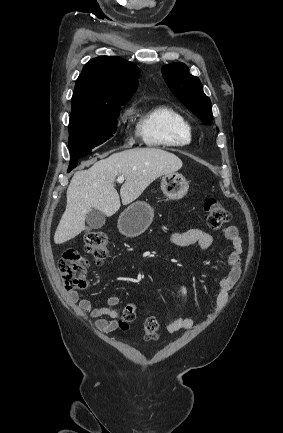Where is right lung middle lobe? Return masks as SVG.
Returning a JSON list of instances; mask_svg holds the SVG:
<instances>
[{
	"label": "right lung middle lobe",
	"instance_id": "1",
	"mask_svg": "<svg viewBox=\"0 0 283 433\" xmlns=\"http://www.w3.org/2000/svg\"><path fill=\"white\" fill-rule=\"evenodd\" d=\"M121 106L72 110L69 120L71 158L90 154L92 149L112 137Z\"/></svg>",
	"mask_w": 283,
	"mask_h": 433
}]
</instances>
